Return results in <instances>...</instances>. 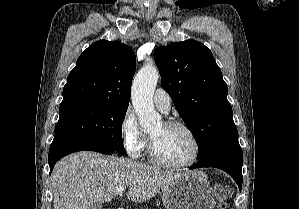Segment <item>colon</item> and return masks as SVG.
Here are the masks:
<instances>
[{"label":"colon","mask_w":299,"mask_h":209,"mask_svg":"<svg viewBox=\"0 0 299 209\" xmlns=\"http://www.w3.org/2000/svg\"><path fill=\"white\" fill-rule=\"evenodd\" d=\"M215 194L218 200V209H227V199L232 194V190L228 185L215 186Z\"/></svg>","instance_id":"colon-1"}]
</instances>
